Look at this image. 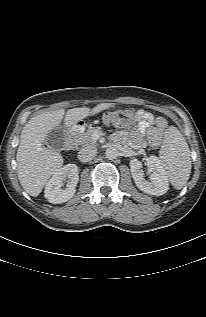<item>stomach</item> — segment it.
<instances>
[{
  "instance_id": "0dacf381",
  "label": "stomach",
  "mask_w": 206,
  "mask_h": 317,
  "mask_svg": "<svg viewBox=\"0 0 206 317\" xmlns=\"http://www.w3.org/2000/svg\"><path fill=\"white\" fill-rule=\"evenodd\" d=\"M80 124H82L83 126H85V123H84L82 120L80 121Z\"/></svg>"
}]
</instances>
